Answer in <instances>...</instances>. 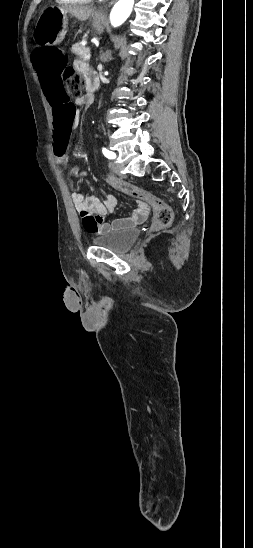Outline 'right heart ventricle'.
Returning a JSON list of instances; mask_svg holds the SVG:
<instances>
[{
    "mask_svg": "<svg viewBox=\"0 0 253 548\" xmlns=\"http://www.w3.org/2000/svg\"><path fill=\"white\" fill-rule=\"evenodd\" d=\"M91 0H56L57 3L63 5H76L89 3Z\"/></svg>",
    "mask_w": 253,
    "mask_h": 548,
    "instance_id": "1",
    "label": "right heart ventricle"
}]
</instances>
